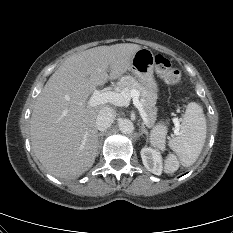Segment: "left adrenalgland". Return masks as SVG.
Listing matches in <instances>:
<instances>
[{
	"label": "left adrenal gland",
	"instance_id": "1",
	"mask_svg": "<svg viewBox=\"0 0 233 233\" xmlns=\"http://www.w3.org/2000/svg\"><path fill=\"white\" fill-rule=\"evenodd\" d=\"M141 134H145V135L147 136V141H148L149 132H148V130L145 128L144 125L141 126Z\"/></svg>",
	"mask_w": 233,
	"mask_h": 233
}]
</instances>
